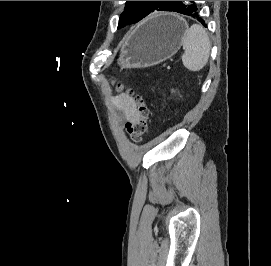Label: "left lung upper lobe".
Instances as JSON below:
<instances>
[{
    "mask_svg": "<svg viewBox=\"0 0 271 266\" xmlns=\"http://www.w3.org/2000/svg\"><path fill=\"white\" fill-rule=\"evenodd\" d=\"M176 1H127L118 28L137 23L154 11H168Z\"/></svg>",
    "mask_w": 271,
    "mask_h": 266,
    "instance_id": "left-lung-upper-lobe-1",
    "label": "left lung upper lobe"
}]
</instances>
